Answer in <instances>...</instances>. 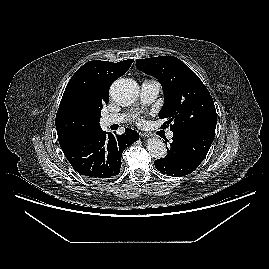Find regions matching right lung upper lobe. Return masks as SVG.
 <instances>
[{"mask_svg":"<svg viewBox=\"0 0 269 269\" xmlns=\"http://www.w3.org/2000/svg\"><path fill=\"white\" fill-rule=\"evenodd\" d=\"M132 62L89 61L75 72L56 114L61 147L101 129L96 110L109 102L110 85L127 72Z\"/></svg>","mask_w":269,"mask_h":269,"instance_id":"cb5924a9","label":"right lung upper lobe"}]
</instances>
